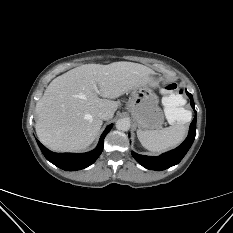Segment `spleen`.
<instances>
[{
	"instance_id": "1",
	"label": "spleen",
	"mask_w": 233,
	"mask_h": 233,
	"mask_svg": "<svg viewBox=\"0 0 233 233\" xmlns=\"http://www.w3.org/2000/svg\"><path fill=\"white\" fill-rule=\"evenodd\" d=\"M181 100L163 98L164 112L171 126L161 130H137L142 146L152 152H164L178 146L185 138V123L191 120V112L179 107Z\"/></svg>"
}]
</instances>
